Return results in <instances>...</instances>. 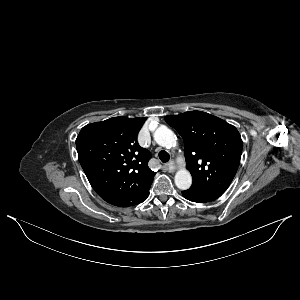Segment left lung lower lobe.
Wrapping results in <instances>:
<instances>
[{"instance_id":"obj_1","label":"left lung lower lobe","mask_w":300,"mask_h":300,"mask_svg":"<svg viewBox=\"0 0 300 300\" xmlns=\"http://www.w3.org/2000/svg\"><path fill=\"white\" fill-rule=\"evenodd\" d=\"M182 194L187 200L197 203L210 202L222 195L221 193L206 192L191 187L188 190L182 191Z\"/></svg>"}]
</instances>
